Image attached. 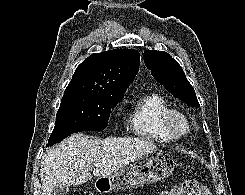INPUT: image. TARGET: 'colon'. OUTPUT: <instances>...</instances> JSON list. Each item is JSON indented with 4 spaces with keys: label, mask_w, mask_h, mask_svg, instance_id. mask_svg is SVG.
Instances as JSON below:
<instances>
[{
    "label": "colon",
    "mask_w": 245,
    "mask_h": 195,
    "mask_svg": "<svg viewBox=\"0 0 245 195\" xmlns=\"http://www.w3.org/2000/svg\"><path fill=\"white\" fill-rule=\"evenodd\" d=\"M209 192L204 185L195 179L186 180L180 184L174 185L166 190L162 195H208Z\"/></svg>",
    "instance_id": "5ec220e1"
}]
</instances>
